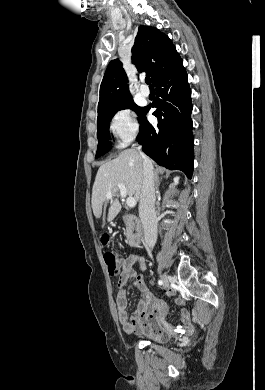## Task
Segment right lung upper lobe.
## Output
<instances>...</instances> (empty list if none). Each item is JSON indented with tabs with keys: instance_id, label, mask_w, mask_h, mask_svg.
<instances>
[{
	"instance_id": "1",
	"label": "right lung upper lobe",
	"mask_w": 265,
	"mask_h": 390,
	"mask_svg": "<svg viewBox=\"0 0 265 390\" xmlns=\"http://www.w3.org/2000/svg\"><path fill=\"white\" fill-rule=\"evenodd\" d=\"M180 61V55L167 35L154 27L139 26L132 47V62L139 72L145 71L155 84ZM127 82L122 63L118 59L112 60L100 86L98 115L132 99Z\"/></svg>"
}]
</instances>
